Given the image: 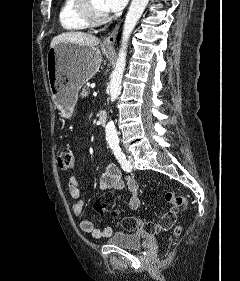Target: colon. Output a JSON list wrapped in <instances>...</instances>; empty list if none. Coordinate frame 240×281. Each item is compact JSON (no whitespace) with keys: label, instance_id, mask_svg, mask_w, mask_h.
Wrapping results in <instances>:
<instances>
[{"label":"colon","instance_id":"5ec220e1","mask_svg":"<svg viewBox=\"0 0 240 281\" xmlns=\"http://www.w3.org/2000/svg\"><path fill=\"white\" fill-rule=\"evenodd\" d=\"M57 164L62 171L73 170L76 165L73 151L69 148H63L58 155ZM164 199L171 204V208L161 217L158 223L134 217H126L121 221L122 227L128 231L139 230L147 234H156L160 230L172 228L176 224L179 212H184L188 209V200L171 191L164 194ZM93 208L100 215H106L107 213H110L114 217L118 215V212L114 210V199L111 195H102L97 198ZM180 233L181 227L179 225L175 226L174 235L178 236Z\"/></svg>","mask_w":240,"mask_h":281}]
</instances>
